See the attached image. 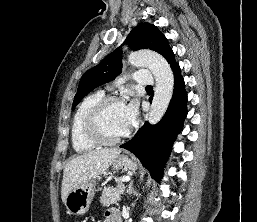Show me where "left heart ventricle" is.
I'll return each instance as SVG.
<instances>
[{
  "mask_svg": "<svg viewBox=\"0 0 257 222\" xmlns=\"http://www.w3.org/2000/svg\"><path fill=\"white\" fill-rule=\"evenodd\" d=\"M102 133L108 138H116L125 134L124 105H111L100 120Z\"/></svg>",
  "mask_w": 257,
  "mask_h": 222,
  "instance_id": "obj_1",
  "label": "left heart ventricle"
}]
</instances>
